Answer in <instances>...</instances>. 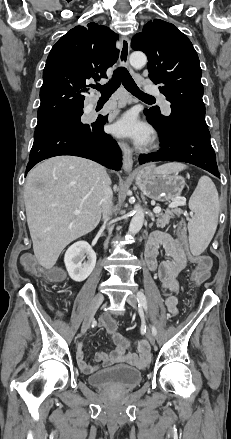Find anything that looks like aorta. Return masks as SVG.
I'll list each match as a JSON object with an SVG mask.
<instances>
[{
	"label": "aorta",
	"instance_id": "762f6f07",
	"mask_svg": "<svg viewBox=\"0 0 231 439\" xmlns=\"http://www.w3.org/2000/svg\"><path fill=\"white\" fill-rule=\"evenodd\" d=\"M129 61L133 68L141 69L146 65L147 57L143 52L135 51L130 55ZM144 217L145 214L143 208L139 204H136L134 206V216L129 225L130 234H136L141 230L144 223Z\"/></svg>",
	"mask_w": 231,
	"mask_h": 439
}]
</instances>
